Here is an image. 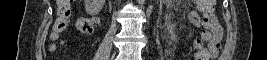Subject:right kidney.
<instances>
[{"mask_svg": "<svg viewBox=\"0 0 267 60\" xmlns=\"http://www.w3.org/2000/svg\"><path fill=\"white\" fill-rule=\"evenodd\" d=\"M85 10L89 15H97L104 6L105 0H85Z\"/></svg>", "mask_w": 267, "mask_h": 60, "instance_id": "right-kidney-1", "label": "right kidney"}]
</instances>
